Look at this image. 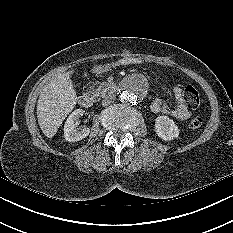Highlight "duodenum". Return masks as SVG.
Instances as JSON below:
<instances>
[{
  "instance_id": "1",
  "label": "duodenum",
  "mask_w": 233,
  "mask_h": 233,
  "mask_svg": "<svg viewBox=\"0 0 233 233\" xmlns=\"http://www.w3.org/2000/svg\"><path fill=\"white\" fill-rule=\"evenodd\" d=\"M117 91L116 85H111L107 87H97L94 92L90 94H82L78 97V103L81 107L89 108L92 104L99 102L106 98L107 95L112 94V92Z\"/></svg>"
}]
</instances>
